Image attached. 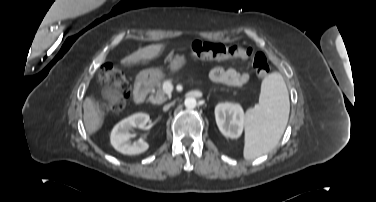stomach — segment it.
Returning <instances> with one entry per match:
<instances>
[{"mask_svg": "<svg viewBox=\"0 0 376 202\" xmlns=\"http://www.w3.org/2000/svg\"><path fill=\"white\" fill-rule=\"evenodd\" d=\"M185 64H186L185 56L177 55L171 61V70L173 72H176L180 70ZM139 76H141L146 82H152L153 80L160 78L162 76V72L159 69L149 68V69L142 70L139 73Z\"/></svg>", "mask_w": 376, "mask_h": 202, "instance_id": "0dacf381", "label": "stomach"}]
</instances>
